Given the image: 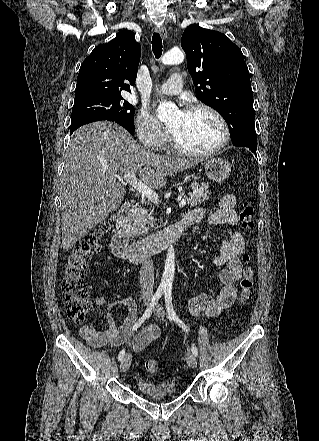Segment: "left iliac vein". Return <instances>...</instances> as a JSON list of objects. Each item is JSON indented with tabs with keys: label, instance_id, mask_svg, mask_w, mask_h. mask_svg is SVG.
Listing matches in <instances>:
<instances>
[{
	"label": "left iliac vein",
	"instance_id": "1",
	"mask_svg": "<svg viewBox=\"0 0 319 441\" xmlns=\"http://www.w3.org/2000/svg\"><path fill=\"white\" fill-rule=\"evenodd\" d=\"M154 314L158 317H164L165 312L162 306L157 305V307L154 309ZM186 360H187V364L192 367L195 368L197 366V359L196 356L191 353V352H187L186 353Z\"/></svg>",
	"mask_w": 319,
	"mask_h": 441
}]
</instances>
